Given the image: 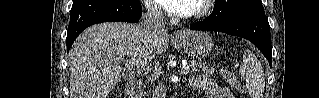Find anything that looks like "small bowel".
Instances as JSON below:
<instances>
[{"label": "small bowel", "mask_w": 319, "mask_h": 98, "mask_svg": "<svg viewBox=\"0 0 319 98\" xmlns=\"http://www.w3.org/2000/svg\"><path fill=\"white\" fill-rule=\"evenodd\" d=\"M193 87H200L205 90L206 98H234L227 87L214 84L204 76H197L192 80Z\"/></svg>", "instance_id": "small-bowel-1"}]
</instances>
